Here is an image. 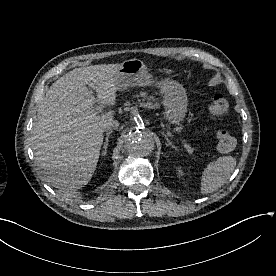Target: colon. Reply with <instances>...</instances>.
I'll use <instances>...</instances> for the list:
<instances>
[{
  "mask_svg": "<svg viewBox=\"0 0 276 276\" xmlns=\"http://www.w3.org/2000/svg\"><path fill=\"white\" fill-rule=\"evenodd\" d=\"M229 102L221 94L215 95L208 107V113L213 119H221L229 112ZM217 148L221 153L228 154L237 146L236 138L226 130H220L216 135Z\"/></svg>",
  "mask_w": 276,
  "mask_h": 276,
  "instance_id": "obj_1",
  "label": "colon"
}]
</instances>
